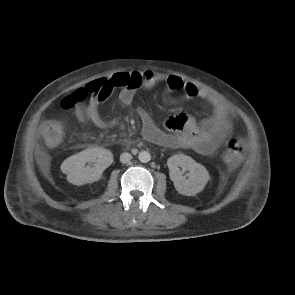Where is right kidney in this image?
<instances>
[{
  "instance_id": "1",
  "label": "right kidney",
  "mask_w": 295,
  "mask_h": 295,
  "mask_svg": "<svg viewBox=\"0 0 295 295\" xmlns=\"http://www.w3.org/2000/svg\"><path fill=\"white\" fill-rule=\"evenodd\" d=\"M95 163L94 166L86 163ZM113 162V154L104 148H88L65 159L61 171L67 175L68 182L81 186L98 181L103 171Z\"/></svg>"
}]
</instances>
